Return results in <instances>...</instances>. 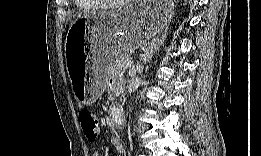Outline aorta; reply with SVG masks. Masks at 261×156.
I'll return each mask as SVG.
<instances>
[{"label":"aorta","mask_w":261,"mask_h":156,"mask_svg":"<svg viewBox=\"0 0 261 156\" xmlns=\"http://www.w3.org/2000/svg\"><path fill=\"white\" fill-rule=\"evenodd\" d=\"M140 78L139 77H134L130 81L129 88H128V93L131 94L135 90H137L140 86ZM110 122L115 128H122L123 124L125 122V114H124V109L121 104H114L110 108Z\"/></svg>","instance_id":"762f6f07"}]
</instances>
